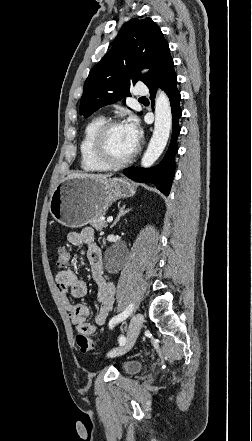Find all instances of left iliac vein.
I'll list each match as a JSON object with an SVG mask.
<instances>
[{
	"label": "left iliac vein",
	"instance_id": "4c4485c4",
	"mask_svg": "<svg viewBox=\"0 0 252 441\" xmlns=\"http://www.w3.org/2000/svg\"><path fill=\"white\" fill-rule=\"evenodd\" d=\"M144 317L141 313H137L129 324L128 332H127V341L126 343L119 348L113 349L108 353L109 357H116L125 354L128 352L135 343L136 338L138 337L140 330L142 328Z\"/></svg>",
	"mask_w": 252,
	"mask_h": 441
}]
</instances>
